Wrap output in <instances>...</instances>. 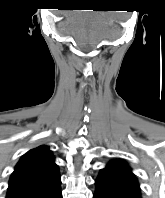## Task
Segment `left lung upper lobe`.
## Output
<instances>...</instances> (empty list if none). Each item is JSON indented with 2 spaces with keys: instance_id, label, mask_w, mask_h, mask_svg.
<instances>
[{
  "instance_id": "1",
  "label": "left lung upper lobe",
  "mask_w": 165,
  "mask_h": 198,
  "mask_svg": "<svg viewBox=\"0 0 165 198\" xmlns=\"http://www.w3.org/2000/svg\"><path fill=\"white\" fill-rule=\"evenodd\" d=\"M102 170L111 173L113 176L126 183L127 185L140 190L135 175L132 173L131 168L123 160H111L108 165Z\"/></svg>"
}]
</instances>
